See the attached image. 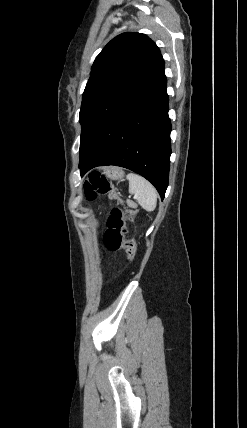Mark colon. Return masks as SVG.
<instances>
[{"mask_svg":"<svg viewBox=\"0 0 247 428\" xmlns=\"http://www.w3.org/2000/svg\"><path fill=\"white\" fill-rule=\"evenodd\" d=\"M84 188L88 200H94L98 196H106L108 201L115 205L108 217L107 228L103 237L106 249L111 252L123 250L133 260L138 250L136 244L127 238V233L134 212L124 207L113 183L98 173L89 175L84 183Z\"/></svg>","mask_w":247,"mask_h":428,"instance_id":"obj_1","label":"colon"}]
</instances>
